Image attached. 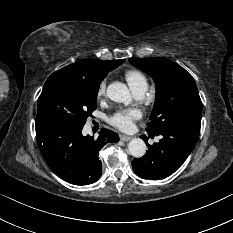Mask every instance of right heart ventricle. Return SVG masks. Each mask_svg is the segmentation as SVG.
Segmentation results:
<instances>
[{"label": "right heart ventricle", "mask_w": 233, "mask_h": 233, "mask_svg": "<svg viewBox=\"0 0 233 233\" xmlns=\"http://www.w3.org/2000/svg\"><path fill=\"white\" fill-rule=\"evenodd\" d=\"M124 76L133 92L146 91L148 80L143 72L132 69L125 72Z\"/></svg>", "instance_id": "1"}]
</instances>
